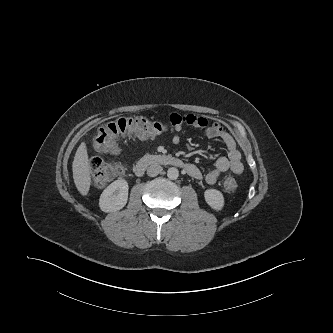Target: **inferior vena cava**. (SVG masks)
<instances>
[{
	"instance_id": "602c4592",
	"label": "inferior vena cava",
	"mask_w": 333,
	"mask_h": 333,
	"mask_svg": "<svg viewBox=\"0 0 333 333\" xmlns=\"http://www.w3.org/2000/svg\"><path fill=\"white\" fill-rule=\"evenodd\" d=\"M163 170L162 166L158 165V164H152L151 166L148 167L147 169V174L150 177H155L157 176L159 173H161Z\"/></svg>"
}]
</instances>
